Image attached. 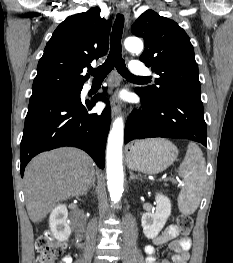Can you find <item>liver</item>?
I'll return each mask as SVG.
<instances>
[{
    "mask_svg": "<svg viewBox=\"0 0 233 263\" xmlns=\"http://www.w3.org/2000/svg\"><path fill=\"white\" fill-rule=\"evenodd\" d=\"M94 173L91 157L76 148H59L33 158L24 173L29 218L41 222L57 203L85 194Z\"/></svg>",
    "mask_w": 233,
    "mask_h": 263,
    "instance_id": "obj_1",
    "label": "liver"
}]
</instances>
